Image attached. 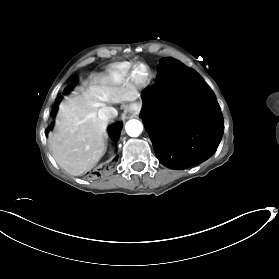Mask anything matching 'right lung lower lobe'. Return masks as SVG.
<instances>
[{
	"label": "right lung lower lobe",
	"instance_id": "obj_1",
	"mask_svg": "<svg viewBox=\"0 0 279 279\" xmlns=\"http://www.w3.org/2000/svg\"><path fill=\"white\" fill-rule=\"evenodd\" d=\"M71 87H69V88H67L66 90H65V94L66 93H68L69 91H71ZM61 99L62 98H57L56 99V101H55V104H56V106L60 103V101H61ZM54 113L55 112H53V115H54ZM113 138L115 139V140H117L118 139V135H119V132H120V128L118 127V126H114L113 127Z\"/></svg>",
	"mask_w": 279,
	"mask_h": 279
}]
</instances>
